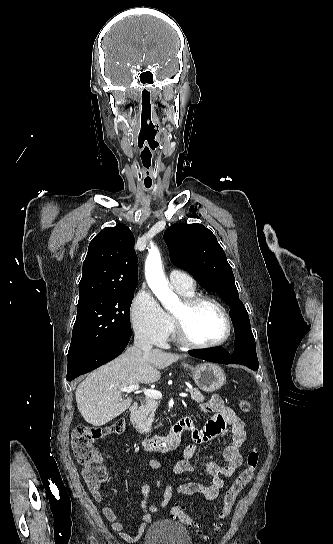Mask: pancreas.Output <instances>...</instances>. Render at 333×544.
<instances>
[{
  "mask_svg": "<svg viewBox=\"0 0 333 544\" xmlns=\"http://www.w3.org/2000/svg\"><path fill=\"white\" fill-rule=\"evenodd\" d=\"M187 392L190 393L192 400L201 403L205 400L201 392L196 388H187ZM158 401L153 398H146V400L139 407L136 414V426L135 428L141 434H148L151 432V425L154 420L155 411Z\"/></svg>",
  "mask_w": 333,
  "mask_h": 544,
  "instance_id": "pancreas-1",
  "label": "pancreas"
}]
</instances>
